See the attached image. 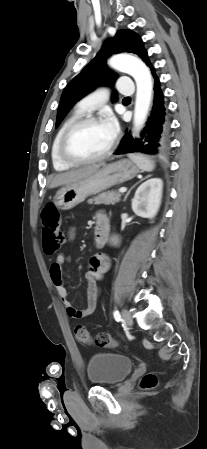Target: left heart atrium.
Here are the masks:
<instances>
[{
  "instance_id": "left-heart-atrium-1",
  "label": "left heart atrium",
  "mask_w": 207,
  "mask_h": 449,
  "mask_svg": "<svg viewBox=\"0 0 207 449\" xmlns=\"http://www.w3.org/2000/svg\"><path fill=\"white\" fill-rule=\"evenodd\" d=\"M106 129L108 130L109 134L111 135L112 139L116 137L118 133V123L116 119L112 116L108 117L107 120L104 122Z\"/></svg>"
}]
</instances>
